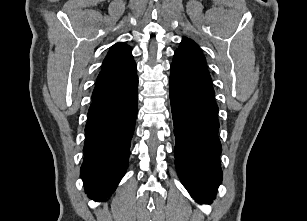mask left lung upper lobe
Instances as JSON below:
<instances>
[{
  "label": "left lung upper lobe",
  "instance_id": "1",
  "mask_svg": "<svg viewBox=\"0 0 307 221\" xmlns=\"http://www.w3.org/2000/svg\"><path fill=\"white\" fill-rule=\"evenodd\" d=\"M175 52H179L185 55L208 72V69L206 67V60L201 52V49L191 39L184 38L183 41L180 43L179 48Z\"/></svg>",
  "mask_w": 307,
  "mask_h": 221
}]
</instances>
